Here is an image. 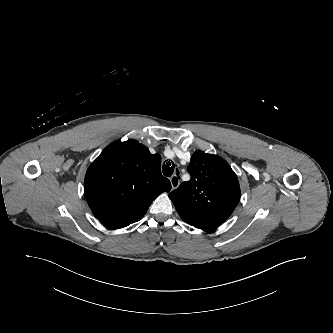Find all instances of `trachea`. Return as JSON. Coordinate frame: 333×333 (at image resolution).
Listing matches in <instances>:
<instances>
[{
  "mask_svg": "<svg viewBox=\"0 0 333 333\" xmlns=\"http://www.w3.org/2000/svg\"><path fill=\"white\" fill-rule=\"evenodd\" d=\"M165 162L163 164L162 172H163L164 176L170 177L173 174L174 170H175V165H174L173 161H171L172 163L169 162V161L166 162V163Z\"/></svg>",
  "mask_w": 333,
  "mask_h": 333,
  "instance_id": "1",
  "label": "trachea"
}]
</instances>
